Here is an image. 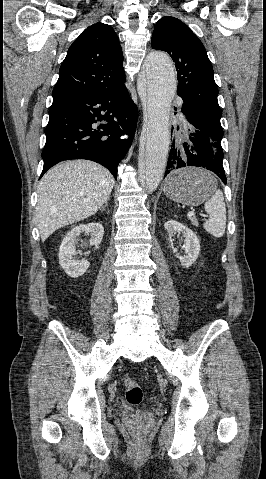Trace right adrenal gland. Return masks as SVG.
<instances>
[{
    "label": "right adrenal gland",
    "instance_id": "1",
    "mask_svg": "<svg viewBox=\"0 0 266 479\" xmlns=\"http://www.w3.org/2000/svg\"><path fill=\"white\" fill-rule=\"evenodd\" d=\"M107 206H108V200L105 202V205L102 206L101 210L104 211Z\"/></svg>",
    "mask_w": 266,
    "mask_h": 479
}]
</instances>
